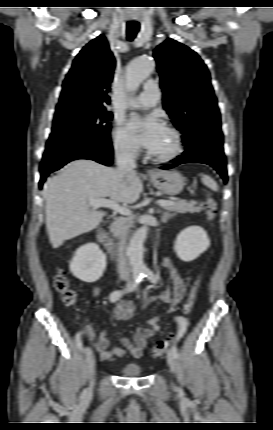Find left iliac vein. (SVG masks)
<instances>
[{"label":"left iliac vein","instance_id":"obj_1","mask_svg":"<svg viewBox=\"0 0 273 430\" xmlns=\"http://www.w3.org/2000/svg\"><path fill=\"white\" fill-rule=\"evenodd\" d=\"M167 362L171 371H174L176 368V357L171 350L167 353Z\"/></svg>","mask_w":273,"mask_h":430}]
</instances>
